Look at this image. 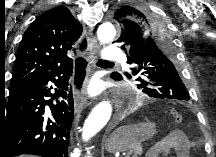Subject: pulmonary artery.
I'll return each mask as SVG.
<instances>
[{
    "instance_id": "pulmonary-artery-1",
    "label": "pulmonary artery",
    "mask_w": 216,
    "mask_h": 157,
    "mask_svg": "<svg viewBox=\"0 0 216 157\" xmlns=\"http://www.w3.org/2000/svg\"><path fill=\"white\" fill-rule=\"evenodd\" d=\"M124 57V53L116 46H108L102 54V58L105 61L121 60Z\"/></svg>"
}]
</instances>
